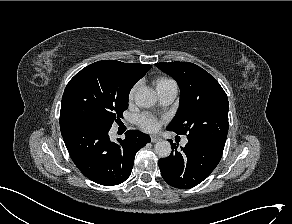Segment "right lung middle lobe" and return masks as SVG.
Here are the masks:
<instances>
[{
	"mask_svg": "<svg viewBox=\"0 0 292 224\" xmlns=\"http://www.w3.org/2000/svg\"><path fill=\"white\" fill-rule=\"evenodd\" d=\"M133 84L116 64L103 60L78 72L67 84L61 102L60 121L81 119L111 128L128 108Z\"/></svg>",
	"mask_w": 292,
	"mask_h": 224,
	"instance_id": "obj_1",
	"label": "right lung middle lobe"
}]
</instances>
